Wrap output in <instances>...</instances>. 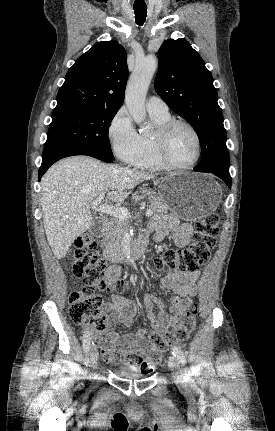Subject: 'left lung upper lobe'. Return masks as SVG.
I'll use <instances>...</instances> for the list:
<instances>
[{"label":"left lung upper lobe","mask_w":275,"mask_h":431,"mask_svg":"<svg viewBox=\"0 0 275 431\" xmlns=\"http://www.w3.org/2000/svg\"><path fill=\"white\" fill-rule=\"evenodd\" d=\"M154 86L167 105L195 129L202 159L196 169L229 172L226 130L217 90L205 62L185 39H168L160 47Z\"/></svg>","instance_id":"1"}]
</instances>
